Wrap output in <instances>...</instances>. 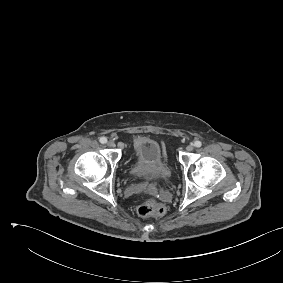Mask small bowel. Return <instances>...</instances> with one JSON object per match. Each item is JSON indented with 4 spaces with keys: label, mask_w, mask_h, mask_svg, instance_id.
Returning a JSON list of instances; mask_svg holds the SVG:
<instances>
[{
    "label": "small bowel",
    "mask_w": 283,
    "mask_h": 283,
    "mask_svg": "<svg viewBox=\"0 0 283 283\" xmlns=\"http://www.w3.org/2000/svg\"><path fill=\"white\" fill-rule=\"evenodd\" d=\"M141 139H144V138H137V139H136V142L139 141V140H141ZM165 156H166V153H165V151H163V158H164V160H165Z\"/></svg>",
    "instance_id": "1"
}]
</instances>
